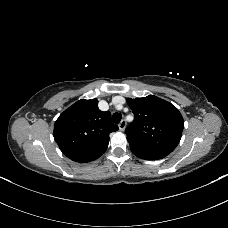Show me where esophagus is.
Returning a JSON list of instances; mask_svg holds the SVG:
<instances>
[{
	"label": "esophagus",
	"instance_id": "34e87169",
	"mask_svg": "<svg viewBox=\"0 0 228 228\" xmlns=\"http://www.w3.org/2000/svg\"><path fill=\"white\" fill-rule=\"evenodd\" d=\"M118 127H119V130L124 131L125 130V127H126V121L125 120H122L119 123Z\"/></svg>",
	"mask_w": 228,
	"mask_h": 228
}]
</instances>
